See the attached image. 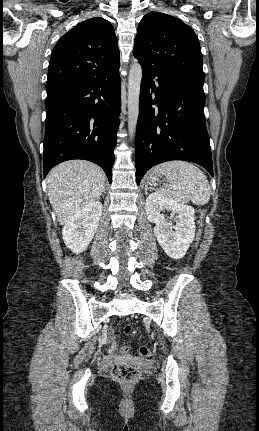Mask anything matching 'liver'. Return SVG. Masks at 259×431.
Returning <instances> with one entry per match:
<instances>
[{"label": "liver", "mask_w": 259, "mask_h": 431, "mask_svg": "<svg viewBox=\"0 0 259 431\" xmlns=\"http://www.w3.org/2000/svg\"><path fill=\"white\" fill-rule=\"evenodd\" d=\"M47 185L50 204L63 225L100 198L105 189V174L94 163L72 160L54 167L47 176Z\"/></svg>", "instance_id": "liver-1"}]
</instances>
